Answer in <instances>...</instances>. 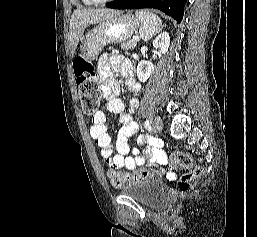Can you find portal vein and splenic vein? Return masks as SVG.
I'll return each instance as SVG.
<instances>
[{
	"mask_svg": "<svg viewBox=\"0 0 257 237\" xmlns=\"http://www.w3.org/2000/svg\"><path fill=\"white\" fill-rule=\"evenodd\" d=\"M136 42L139 41V37H134L133 38Z\"/></svg>",
	"mask_w": 257,
	"mask_h": 237,
	"instance_id": "obj_1",
	"label": "portal vein and splenic vein"
}]
</instances>
